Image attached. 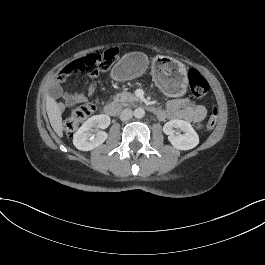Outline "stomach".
Masks as SVG:
<instances>
[{
	"label": "stomach",
	"mask_w": 265,
	"mask_h": 265,
	"mask_svg": "<svg viewBox=\"0 0 265 265\" xmlns=\"http://www.w3.org/2000/svg\"><path fill=\"white\" fill-rule=\"evenodd\" d=\"M148 68V57L133 52L124 55L114 66L112 77L119 81L141 76ZM152 76L155 83L170 96H180L187 89V70L184 64L168 56H156L152 62Z\"/></svg>",
	"instance_id": "0dacf381"
}]
</instances>
